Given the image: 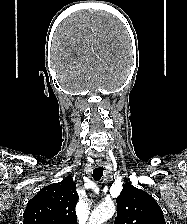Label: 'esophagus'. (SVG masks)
Wrapping results in <instances>:
<instances>
[{"label":"esophagus","mask_w":187,"mask_h":224,"mask_svg":"<svg viewBox=\"0 0 187 224\" xmlns=\"http://www.w3.org/2000/svg\"><path fill=\"white\" fill-rule=\"evenodd\" d=\"M101 165H102V162H99V161L96 162L97 167H100Z\"/></svg>","instance_id":"esophagus-1"}]
</instances>
